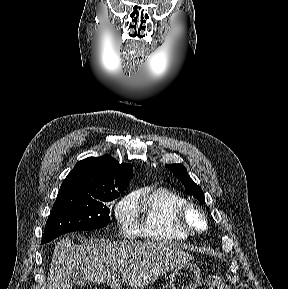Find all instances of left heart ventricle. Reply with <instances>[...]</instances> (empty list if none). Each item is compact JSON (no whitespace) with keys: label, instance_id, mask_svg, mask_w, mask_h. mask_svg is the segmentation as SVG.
Segmentation results:
<instances>
[{"label":"left heart ventricle","instance_id":"left-heart-ventricle-1","mask_svg":"<svg viewBox=\"0 0 288 289\" xmlns=\"http://www.w3.org/2000/svg\"><path fill=\"white\" fill-rule=\"evenodd\" d=\"M189 222L191 223L192 226L194 227H201L202 226V221L200 216L195 213V212H190L189 213Z\"/></svg>","mask_w":288,"mask_h":289}]
</instances>
